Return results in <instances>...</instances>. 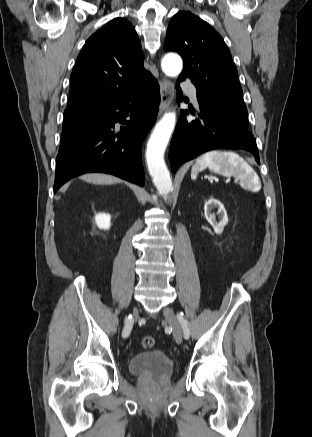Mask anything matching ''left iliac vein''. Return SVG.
Here are the masks:
<instances>
[{
  "label": "left iliac vein",
  "mask_w": 312,
  "mask_h": 437,
  "mask_svg": "<svg viewBox=\"0 0 312 437\" xmlns=\"http://www.w3.org/2000/svg\"><path fill=\"white\" fill-rule=\"evenodd\" d=\"M164 319L168 322V324L173 329V336L178 343L182 342L183 334L179 324V321L176 317V314L172 308L165 307L163 309ZM186 320V319H185Z\"/></svg>",
  "instance_id": "obj_1"
}]
</instances>
